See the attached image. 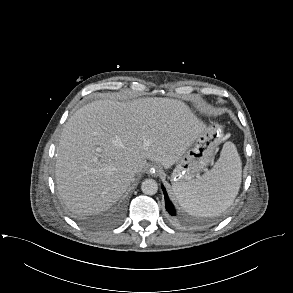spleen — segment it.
I'll list each match as a JSON object with an SVG mask.
<instances>
[{
	"mask_svg": "<svg viewBox=\"0 0 293 293\" xmlns=\"http://www.w3.org/2000/svg\"><path fill=\"white\" fill-rule=\"evenodd\" d=\"M242 163L236 146L226 142L213 168L175 191L180 206L194 216H216L234 202L241 184Z\"/></svg>",
	"mask_w": 293,
	"mask_h": 293,
	"instance_id": "3e777b00",
	"label": "spleen"
}]
</instances>
